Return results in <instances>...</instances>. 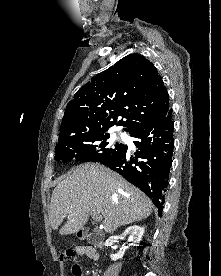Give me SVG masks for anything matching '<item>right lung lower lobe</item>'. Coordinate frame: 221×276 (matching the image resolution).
<instances>
[{"label": "right lung lower lobe", "instance_id": "obj_1", "mask_svg": "<svg viewBox=\"0 0 221 276\" xmlns=\"http://www.w3.org/2000/svg\"><path fill=\"white\" fill-rule=\"evenodd\" d=\"M174 121L172 109L153 121L139 127L130 136L137 138L138 150L134 156L127 152L102 163L121 174L126 180L140 188L158 208L162 215L165 192L169 182L174 148Z\"/></svg>", "mask_w": 221, "mask_h": 276}]
</instances>
